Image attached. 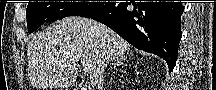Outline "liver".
<instances>
[{
    "mask_svg": "<svg viewBox=\"0 0 216 90\" xmlns=\"http://www.w3.org/2000/svg\"><path fill=\"white\" fill-rule=\"evenodd\" d=\"M116 32L88 18H65L33 36L28 44V80L37 90L72 88L80 68L89 74L84 90L98 84L99 68L129 52Z\"/></svg>",
    "mask_w": 216,
    "mask_h": 90,
    "instance_id": "1",
    "label": "liver"
}]
</instances>
